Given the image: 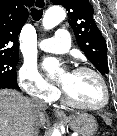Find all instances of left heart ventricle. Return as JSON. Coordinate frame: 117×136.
Masks as SVG:
<instances>
[{
  "label": "left heart ventricle",
  "mask_w": 117,
  "mask_h": 136,
  "mask_svg": "<svg viewBox=\"0 0 117 136\" xmlns=\"http://www.w3.org/2000/svg\"><path fill=\"white\" fill-rule=\"evenodd\" d=\"M63 86L76 102L97 105L103 99V90L98 79L89 72H72L63 75Z\"/></svg>",
  "instance_id": "1"
}]
</instances>
